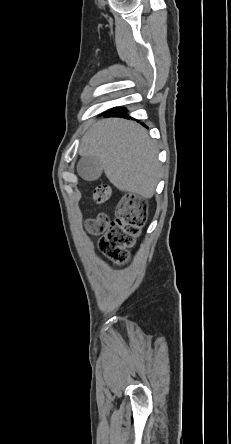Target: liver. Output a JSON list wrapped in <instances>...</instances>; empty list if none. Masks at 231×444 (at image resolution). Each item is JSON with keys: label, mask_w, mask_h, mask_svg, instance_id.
I'll list each match as a JSON object with an SVG mask.
<instances>
[{"label": "liver", "mask_w": 231, "mask_h": 444, "mask_svg": "<svg viewBox=\"0 0 231 444\" xmlns=\"http://www.w3.org/2000/svg\"><path fill=\"white\" fill-rule=\"evenodd\" d=\"M79 153L95 156L109 181L120 191L151 198L160 180L158 149L139 124L109 118L84 135Z\"/></svg>", "instance_id": "1"}]
</instances>
